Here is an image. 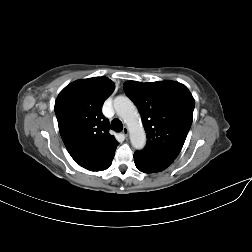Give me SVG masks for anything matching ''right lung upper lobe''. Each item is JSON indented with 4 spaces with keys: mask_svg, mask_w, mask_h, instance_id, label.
Segmentation results:
<instances>
[{
    "mask_svg": "<svg viewBox=\"0 0 252 252\" xmlns=\"http://www.w3.org/2000/svg\"><path fill=\"white\" fill-rule=\"evenodd\" d=\"M115 89L106 77L77 80L66 86L55 102L60 135L71 157L91 171L107 169L119 144L109 134L102 114L104 101Z\"/></svg>",
    "mask_w": 252,
    "mask_h": 252,
    "instance_id": "cb5924a9",
    "label": "right lung upper lobe"
}]
</instances>
